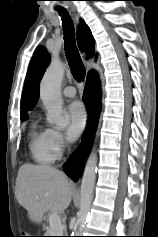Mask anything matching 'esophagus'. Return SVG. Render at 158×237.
<instances>
[{"label": "esophagus", "instance_id": "1", "mask_svg": "<svg viewBox=\"0 0 158 237\" xmlns=\"http://www.w3.org/2000/svg\"><path fill=\"white\" fill-rule=\"evenodd\" d=\"M82 56H83V58H84V60H85V54H84V53H82ZM85 62H86V60H85Z\"/></svg>", "mask_w": 158, "mask_h": 237}]
</instances>
